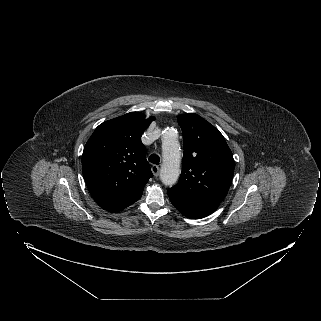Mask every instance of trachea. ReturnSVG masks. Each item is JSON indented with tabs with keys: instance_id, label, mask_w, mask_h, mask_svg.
<instances>
[{
	"instance_id": "1",
	"label": "trachea",
	"mask_w": 321,
	"mask_h": 321,
	"mask_svg": "<svg viewBox=\"0 0 321 321\" xmlns=\"http://www.w3.org/2000/svg\"><path fill=\"white\" fill-rule=\"evenodd\" d=\"M149 161L153 164H159L160 162V157L156 154H152L150 157H149Z\"/></svg>"
}]
</instances>
